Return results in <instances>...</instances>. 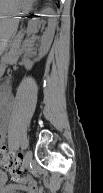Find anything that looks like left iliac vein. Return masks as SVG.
<instances>
[{"instance_id":"4c4485c4","label":"left iliac vein","mask_w":103,"mask_h":193,"mask_svg":"<svg viewBox=\"0 0 103 193\" xmlns=\"http://www.w3.org/2000/svg\"><path fill=\"white\" fill-rule=\"evenodd\" d=\"M32 151L31 150H28L26 153H25V156H24V161H25V164L26 165H29V163L31 162L32 160Z\"/></svg>"}]
</instances>
